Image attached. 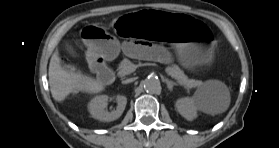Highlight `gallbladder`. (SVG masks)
Segmentation results:
<instances>
[{
	"label": "gallbladder",
	"instance_id": "gallbladder-1",
	"mask_svg": "<svg viewBox=\"0 0 279 148\" xmlns=\"http://www.w3.org/2000/svg\"><path fill=\"white\" fill-rule=\"evenodd\" d=\"M66 50L69 52V54H71L72 56L76 57V53L74 51V49L72 48V46H70L69 44L66 45ZM106 70H104L103 72H105Z\"/></svg>",
	"mask_w": 279,
	"mask_h": 148
}]
</instances>
